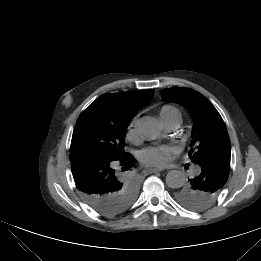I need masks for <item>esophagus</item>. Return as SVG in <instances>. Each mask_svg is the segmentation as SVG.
<instances>
[{
	"mask_svg": "<svg viewBox=\"0 0 261 261\" xmlns=\"http://www.w3.org/2000/svg\"><path fill=\"white\" fill-rule=\"evenodd\" d=\"M163 169L162 168H150V169H146L143 171V173L145 175L151 174V173H157V172H161Z\"/></svg>",
	"mask_w": 261,
	"mask_h": 261,
	"instance_id": "34e87169",
	"label": "esophagus"
}]
</instances>
